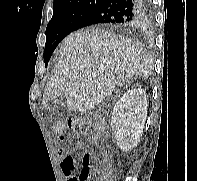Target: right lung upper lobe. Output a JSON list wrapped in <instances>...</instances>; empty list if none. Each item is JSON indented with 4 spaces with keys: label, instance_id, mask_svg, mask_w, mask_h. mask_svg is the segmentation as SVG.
I'll use <instances>...</instances> for the list:
<instances>
[{
    "label": "right lung upper lobe",
    "instance_id": "1",
    "mask_svg": "<svg viewBox=\"0 0 197 181\" xmlns=\"http://www.w3.org/2000/svg\"><path fill=\"white\" fill-rule=\"evenodd\" d=\"M103 0H54L53 3V12H58L70 8L77 7L83 4H99ZM138 27H127L126 29L132 30Z\"/></svg>",
    "mask_w": 197,
    "mask_h": 181
}]
</instances>
